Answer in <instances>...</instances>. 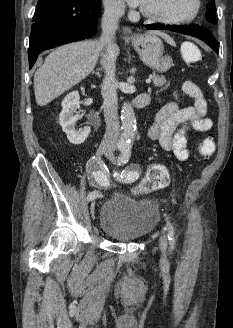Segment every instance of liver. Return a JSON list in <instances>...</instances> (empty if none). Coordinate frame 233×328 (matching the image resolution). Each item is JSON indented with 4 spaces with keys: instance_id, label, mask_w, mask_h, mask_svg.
I'll use <instances>...</instances> for the list:
<instances>
[{
    "instance_id": "1",
    "label": "liver",
    "mask_w": 233,
    "mask_h": 328,
    "mask_svg": "<svg viewBox=\"0 0 233 328\" xmlns=\"http://www.w3.org/2000/svg\"><path fill=\"white\" fill-rule=\"evenodd\" d=\"M150 34L170 40L161 32L152 31ZM102 49L100 41L87 40L63 45L52 51L34 75L37 104L47 105L88 76L94 69ZM113 53L115 56L120 53L116 44Z\"/></svg>"
}]
</instances>
